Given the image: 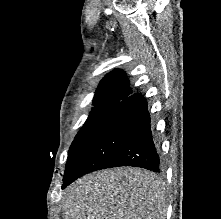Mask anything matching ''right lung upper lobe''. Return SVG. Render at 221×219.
Returning <instances> with one entry per match:
<instances>
[{"mask_svg": "<svg viewBox=\"0 0 221 219\" xmlns=\"http://www.w3.org/2000/svg\"><path fill=\"white\" fill-rule=\"evenodd\" d=\"M125 73L121 70H114L108 74L99 84V87L93 98V103L100 102H118L131 95Z\"/></svg>", "mask_w": 221, "mask_h": 219, "instance_id": "1", "label": "right lung upper lobe"}]
</instances>
